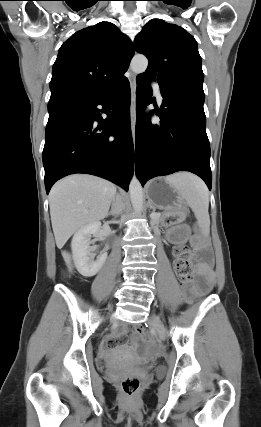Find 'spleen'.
Here are the masks:
<instances>
[{"instance_id":"spleen-1","label":"spleen","mask_w":261,"mask_h":427,"mask_svg":"<svg viewBox=\"0 0 261 427\" xmlns=\"http://www.w3.org/2000/svg\"><path fill=\"white\" fill-rule=\"evenodd\" d=\"M166 179L179 190L182 198L194 212L202 232L208 234L210 230L209 193L204 182L197 176L185 172L168 176Z\"/></svg>"}]
</instances>
